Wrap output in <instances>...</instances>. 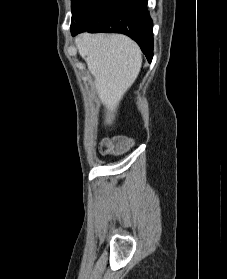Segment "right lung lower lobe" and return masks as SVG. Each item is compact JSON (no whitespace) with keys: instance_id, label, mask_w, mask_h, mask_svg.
<instances>
[{"instance_id":"obj_1","label":"right lung lower lobe","mask_w":227,"mask_h":279,"mask_svg":"<svg viewBox=\"0 0 227 279\" xmlns=\"http://www.w3.org/2000/svg\"><path fill=\"white\" fill-rule=\"evenodd\" d=\"M148 0H90L71 25L72 35L81 32L122 33L140 46L149 62L153 57V22Z\"/></svg>"}]
</instances>
